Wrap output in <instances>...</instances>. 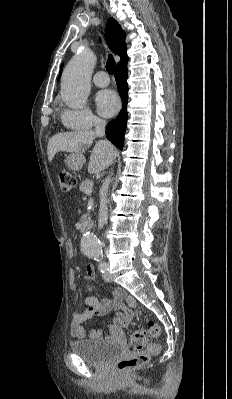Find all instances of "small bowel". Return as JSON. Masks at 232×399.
Returning <instances> with one entry per match:
<instances>
[{"label":"small bowel","mask_w":232,"mask_h":399,"mask_svg":"<svg viewBox=\"0 0 232 399\" xmlns=\"http://www.w3.org/2000/svg\"><path fill=\"white\" fill-rule=\"evenodd\" d=\"M68 248L70 256H74L76 252V245L74 242H68ZM92 280L97 279L96 271H93L91 274ZM69 286L71 290V298L74 299L77 297L78 284L76 274L74 272H70L69 274ZM114 295L116 301L125 298L129 304V307L121 305L119 303H112L108 300L99 301L93 296V290L87 289L86 294L87 297L84 300L85 308L82 312L75 314L72 318L71 324L69 326V333L77 338V342L80 345H98L105 340H109L113 338V336L119 332L122 328H125L129 325L132 319V307H135V297L132 294L123 293L120 289L113 288L111 290ZM115 309L117 311V318L109 327V332H96L91 331L87 332L85 328L82 326V322L85 321L88 317L97 315V314H105L110 310Z\"/></svg>","instance_id":"small-bowel-1"}]
</instances>
